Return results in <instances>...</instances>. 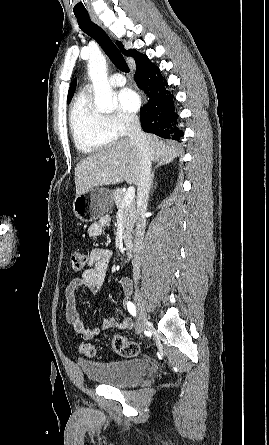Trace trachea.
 I'll use <instances>...</instances> for the list:
<instances>
[{
    "label": "trachea",
    "mask_w": 269,
    "mask_h": 445,
    "mask_svg": "<svg viewBox=\"0 0 269 445\" xmlns=\"http://www.w3.org/2000/svg\"><path fill=\"white\" fill-rule=\"evenodd\" d=\"M76 18L81 30L98 42L112 63L122 72L128 73L130 70L124 57L106 32L93 23L89 15H76Z\"/></svg>",
    "instance_id": "obj_1"
}]
</instances>
